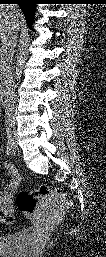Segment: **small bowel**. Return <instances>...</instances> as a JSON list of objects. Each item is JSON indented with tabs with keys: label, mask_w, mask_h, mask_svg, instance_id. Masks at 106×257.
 I'll use <instances>...</instances> for the list:
<instances>
[{
	"label": "small bowel",
	"mask_w": 106,
	"mask_h": 257,
	"mask_svg": "<svg viewBox=\"0 0 106 257\" xmlns=\"http://www.w3.org/2000/svg\"><path fill=\"white\" fill-rule=\"evenodd\" d=\"M6 168L11 173V179L6 185L5 191L2 192L0 197V209H1V218L5 222L12 220L11 214V196L17 190L20 183V175L18 171L11 165L6 164Z\"/></svg>",
	"instance_id": "c3829d8e"
}]
</instances>
